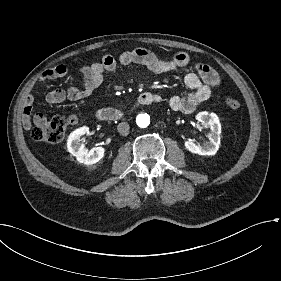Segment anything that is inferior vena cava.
<instances>
[{"label":"inferior vena cava","instance_id":"inferior-vena-cava-1","mask_svg":"<svg viewBox=\"0 0 281 281\" xmlns=\"http://www.w3.org/2000/svg\"><path fill=\"white\" fill-rule=\"evenodd\" d=\"M129 128V124L126 122H121L117 126V130L122 136H127L129 134Z\"/></svg>","mask_w":281,"mask_h":281}]
</instances>
